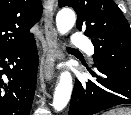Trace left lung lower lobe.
<instances>
[{
  "label": "left lung lower lobe",
  "instance_id": "0a47b994",
  "mask_svg": "<svg viewBox=\"0 0 131 115\" xmlns=\"http://www.w3.org/2000/svg\"><path fill=\"white\" fill-rule=\"evenodd\" d=\"M90 71L95 81H75L68 115H94L120 104H131V75L102 66Z\"/></svg>",
  "mask_w": 131,
  "mask_h": 115
}]
</instances>
